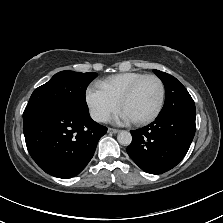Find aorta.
Instances as JSON below:
<instances>
[{"label": "aorta", "instance_id": "aorta-1", "mask_svg": "<svg viewBox=\"0 0 223 223\" xmlns=\"http://www.w3.org/2000/svg\"><path fill=\"white\" fill-rule=\"evenodd\" d=\"M117 140L122 145H129L131 143L132 137L129 131L121 130L117 134Z\"/></svg>", "mask_w": 223, "mask_h": 223}]
</instances>
